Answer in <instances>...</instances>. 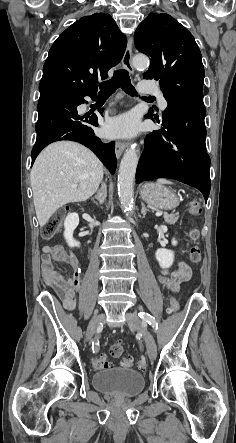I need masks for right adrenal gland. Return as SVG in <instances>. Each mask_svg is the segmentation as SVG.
<instances>
[{"mask_svg":"<svg viewBox=\"0 0 236 443\" xmlns=\"http://www.w3.org/2000/svg\"><path fill=\"white\" fill-rule=\"evenodd\" d=\"M106 197H107L106 184L102 183L99 192L97 193V195L94 196L93 200L97 199L99 201V204L102 205L106 201Z\"/></svg>","mask_w":236,"mask_h":443,"instance_id":"right-adrenal-gland-1","label":"right adrenal gland"}]
</instances>
